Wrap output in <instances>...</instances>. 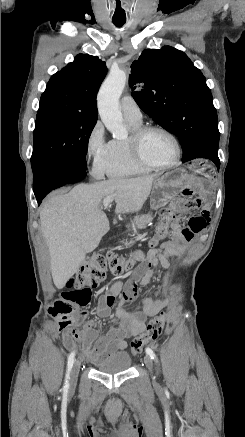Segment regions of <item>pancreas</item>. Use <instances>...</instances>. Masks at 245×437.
I'll list each match as a JSON object with an SVG mask.
<instances>
[{"instance_id":"obj_1","label":"pancreas","mask_w":245,"mask_h":437,"mask_svg":"<svg viewBox=\"0 0 245 437\" xmlns=\"http://www.w3.org/2000/svg\"><path fill=\"white\" fill-rule=\"evenodd\" d=\"M152 220V215H142V216H136L134 220L132 221V227L136 231V229H142L146 226L147 223H149Z\"/></svg>"}]
</instances>
